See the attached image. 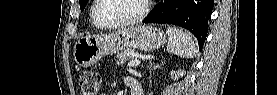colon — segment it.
Here are the masks:
<instances>
[{"label":"colon","mask_w":277,"mask_h":95,"mask_svg":"<svg viewBox=\"0 0 277 95\" xmlns=\"http://www.w3.org/2000/svg\"><path fill=\"white\" fill-rule=\"evenodd\" d=\"M80 89L83 95H97L100 88V77L93 71H83L80 75Z\"/></svg>","instance_id":"colon-1"}]
</instances>
